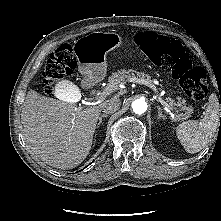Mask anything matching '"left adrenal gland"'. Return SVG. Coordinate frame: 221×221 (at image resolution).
<instances>
[{
  "instance_id": "a2214340",
  "label": "left adrenal gland",
  "mask_w": 221,
  "mask_h": 221,
  "mask_svg": "<svg viewBox=\"0 0 221 221\" xmlns=\"http://www.w3.org/2000/svg\"><path fill=\"white\" fill-rule=\"evenodd\" d=\"M158 108V119H165V116L162 114L161 108L157 106Z\"/></svg>"
}]
</instances>
